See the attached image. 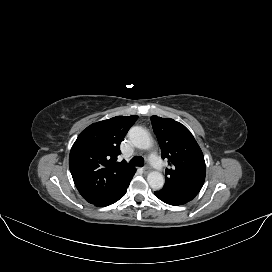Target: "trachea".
Returning <instances> with one entry per match:
<instances>
[{"label":"trachea","mask_w":272,"mask_h":272,"mask_svg":"<svg viewBox=\"0 0 272 272\" xmlns=\"http://www.w3.org/2000/svg\"><path fill=\"white\" fill-rule=\"evenodd\" d=\"M132 166H138V167H143L144 166V159L140 156H135L133 157L130 162Z\"/></svg>","instance_id":"trachea-1"}]
</instances>
